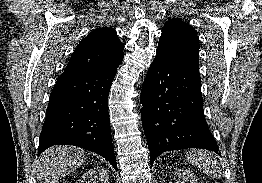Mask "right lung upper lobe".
Masks as SVG:
<instances>
[{
  "mask_svg": "<svg viewBox=\"0 0 262 183\" xmlns=\"http://www.w3.org/2000/svg\"><path fill=\"white\" fill-rule=\"evenodd\" d=\"M124 45L115 29L102 27L90 32L76 47L65 72L110 70L122 62Z\"/></svg>",
  "mask_w": 262,
  "mask_h": 183,
  "instance_id": "cb5924a9",
  "label": "right lung upper lobe"
}]
</instances>
